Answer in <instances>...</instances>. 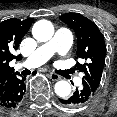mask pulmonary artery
I'll return each instance as SVG.
<instances>
[{
	"mask_svg": "<svg viewBox=\"0 0 117 117\" xmlns=\"http://www.w3.org/2000/svg\"><path fill=\"white\" fill-rule=\"evenodd\" d=\"M72 34L66 28H59L54 37L47 43L37 48L25 61L28 67H38L46 63L54 54H66L72 45ZM77 84H81V77L75 78Z\"/></svg>",
	"mask_w": 117,
	"mask_h": 117,
	"instance_id": "obj_1",
	"label": "pulmonary artery"
}]
</instances>
